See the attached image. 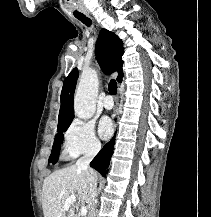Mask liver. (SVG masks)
Wrapping results in <instances>:
<instances>
[{
    "label": "liver",
    "mask_w": 211,
    "mask_h": 217,
    "mask_svg": "<svg viewBox=\"0 0 211 217\" xmlns=\"http://www.w3.org/2000/svg\"><path fill=\"white\" fill-rule=\"evenodd\" d=\"M94 174L97 179V174ZM70 196H75L78 201L65 210L64 203ZM90 203L86 175L77 165L56 170L45 178L42 186L44 217H78L75 209L85 204L90 209Z\"/></svg>",
    "instance_id": "liver-1"
}]
</instances>
